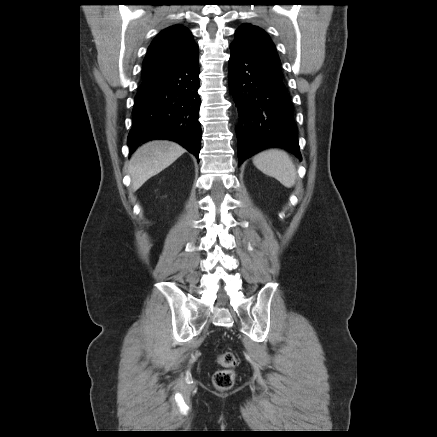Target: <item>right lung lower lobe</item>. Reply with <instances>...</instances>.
Instances as JSON below:
<instances>
[{"label":"right lung lower lobe","instance_id":"1","mask_svg":"<svg viewBox=\"0 0 437 437\" xmlns=\"http://www.w3.org/2000/svg\"><path fill=\"white\" fill-rule=\"evenodd\" d=\"M198 88V55L143 80L132 111L133 127L128 135L130 152L148 140L168 139L198 157L201 140Z\"/></svg>","mask_w":437,"mask_h":437}]
</instances>
